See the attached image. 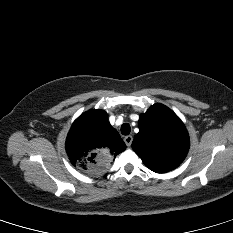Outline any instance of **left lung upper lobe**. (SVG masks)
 <instances>
[{
    "mask_svg": "<svg viewBox=\"0 0 233 233\" xmlns=\"http://www.w3.org/2000/svg\"><path fill=\"white\" fill-rule=\"evenodd\" d=\"M138 126L132 148L150 170L166 173L181 164L189 149V136L174 112L155 104L141 114Z\"/></svg>",
    "mask_w": 233,
    "mask_h": 233,
    "instance_id": "1",
    "label": "left lung upper lobe"
}]
</instances>
